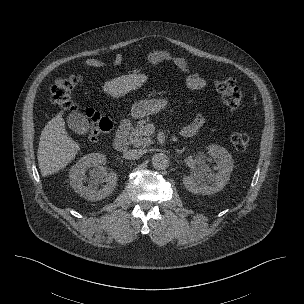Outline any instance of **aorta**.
I'll return each instance as SVG.
<instances>
[{
    "label": "aorta",
    "instance_id": "obj_1",
    "mask_svg": "<svg viewBox=\"0 0 304 304\" xmlns=\"http://www.w3.org/2000/svg\"><path fill=\"white\" fill-rule=\"evenodd\" d=\"M152 166L157 170H164L169 166V158L164 153H157L152 156Z\"/></svg>",
    "mask_w": 304,
    "mask_h": 304
}]
</instances>
